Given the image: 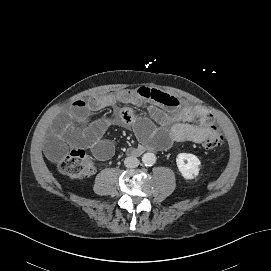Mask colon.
<instances>
[{
  "mask_svg": "<svg viewBox=\"0 0 271 271\" xmlns=\"http://www.w3.org/2000/svg\"><path fill=\"white\" fill-rule=\"evenodd\" d=\"M223 144V137L215 127H211L210 132L203 141L206 149H215ZM61 172L71 178H82L93 174L94 166L82 149L72 150L59 163Z\"/></svg>",
  "mask_w": 271,
  "mask_h": 271,
  "instance_id": "colon-1",
  "label": "colon"
}]
</instances>
